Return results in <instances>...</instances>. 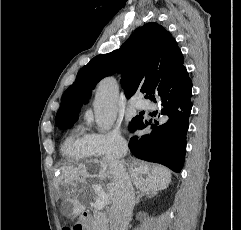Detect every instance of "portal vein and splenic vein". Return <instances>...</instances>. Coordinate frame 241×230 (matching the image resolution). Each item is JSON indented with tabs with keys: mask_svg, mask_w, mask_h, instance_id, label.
Wrapping results in <instances>:
<instances>
[{
	"mask_svg": "<svg viewBox=\"0 0 241 230\" xmlns=\"http://www.w3.org/2000/svg\"><path fill=\"white\" fill-rule=\"evenodd\" d=\"M95 191L98 194V198L94 203V208L96 210H102L108 203V196L99 187H97Z\"/></svg>",
	"mask_w": 241,
	"mask_h": 230,
	"instance_id": "portal-vein-and-splenic-vein-1",
	"label": "portal vein and splenic vein"
}]
</instances>
